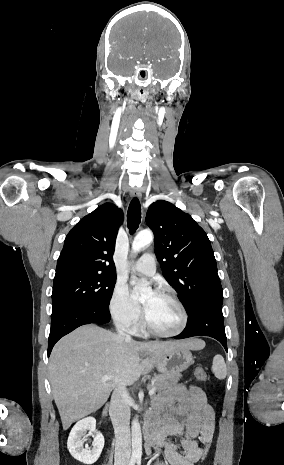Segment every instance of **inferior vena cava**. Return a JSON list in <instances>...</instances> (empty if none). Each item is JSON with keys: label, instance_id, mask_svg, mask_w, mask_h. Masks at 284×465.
Instances as JSON below:
<instances>
[{"label": "inferior vena cava", "instance_id": "inferior-vena-cava-1", "mask_svg": "<svg viewBox=\"0 0 284 465\" xmlns=\"http://www.w3.org/2000/svg\"><path fill=\"white\" fill-rule=\"evenodd\" d=\"M117 333L125 341H132L130 335L124 333L126 325L118 323ZM109 415L115 433V463L114 465H129L131 457V437H130V409L129 395L124 387L115 389L109 407Z\"/></svg>", "mask_w": 284, "mask_h": 465}]
</instances>
